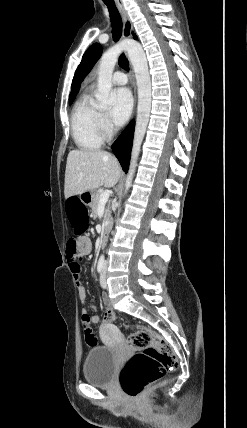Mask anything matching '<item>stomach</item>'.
Wrapping results in <instances>:
<instances>
[{
	"mask_svg": "<svg viewBox=\"0 0 247 428\" xmlns=\"http://www.w3.org/2000/svg\"><path fill=\"white\" fill-rule=\"evenodd\" d=\"M94 195H95V191L84 192L81 194V198L85 199L83 200L85 203H87L88 205H91L94 199Z\"/></svg>",
	"mask_w": 247,
	"mask_h": 428,
	"instance_id": "stomach-1",
	"label": "stomach"
}]
</instances>
